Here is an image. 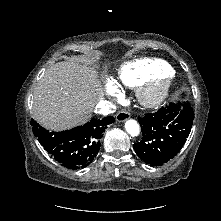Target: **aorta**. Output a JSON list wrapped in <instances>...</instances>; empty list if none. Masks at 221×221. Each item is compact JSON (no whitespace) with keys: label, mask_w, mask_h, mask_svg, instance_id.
Wrapping results in <instances>:
<instances>
[{"label":"aorta","mask_w":221,"mask_h":221,"mask_svg":"<svg viewBox=\"0 0 221 221\" xmlns=\"http://www.w3.org/2000/svg\"><path fill=\"white\" fill-rule=\"evenodd\" d=\"M125 129L131 136H137L140 132L139 124L133 119L125 122Z\"/></svg>","instance_id":"1"}]
</instances>
